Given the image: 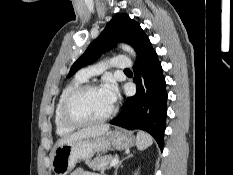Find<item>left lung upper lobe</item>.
Returning a JSON list of instances; mask_svg holds the SVG:
<instances>
[{"mask_svg": "<svg viewBox=\"0 0 233 175\" xmlns=\"http://www.w3.org/2000/svg\"><path fill=\"white\" fill-rule=\"evenodd\" d=\"M118 41L134 47L138 57L151 44L138 22L131 19L128 14H117L73 64L67 77H71L78 69L96 61L102 53L112 48Z\"/></svg>", "mask_w": 233, "mask_h": 175, "instance_id": "1", "label": "left lung upper lobe"}]
</instances>
